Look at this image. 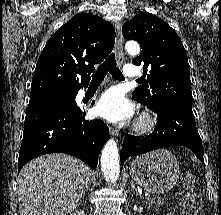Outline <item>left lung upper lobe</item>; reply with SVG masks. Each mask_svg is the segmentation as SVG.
Here are the masks:
<instances>
[{
  "mask_svg": "<svg viewBox=\"0 0 221 215\" xmlns=\"http://www.w3.org/2000/svg\"><path fill=\"white\" fill-rule=\"evenodd\" d=\"M127 40L139 42L142 51L132 63L143 65L147 80L132 93L137 102L154 112L168 108L192 111L190 68L176 32L162 19L141 12L123 26Z\"/></svg>",
  "mask_w": 221,
  "mask_h": 215,
  "instance_id": "obj_1",
  "label": "left lung upper lobe"
}]
</instances>
